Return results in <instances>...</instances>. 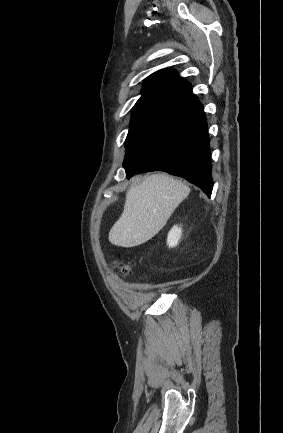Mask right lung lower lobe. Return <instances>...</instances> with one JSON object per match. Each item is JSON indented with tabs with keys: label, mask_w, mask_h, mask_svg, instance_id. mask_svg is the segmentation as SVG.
Here are the masks:
<instances>
[{
	"label": "right lung lower lobe",
	"mask_w": 283,
	"mask_h": 433,
	"mask_svg": "<svg viewBox=\"0 0 283 433\" xmlns=\"http://www.w3.org/2000/svg\"><path fill=\"white\" fill-rule=\"evenodd\" d=\"M127 178L164 171L183 177L211 196L209 136L203 106L196 96L149 122L126 148Z\"/></svg>",
	"instance_id": "98d812e1"
}]
</instances>
